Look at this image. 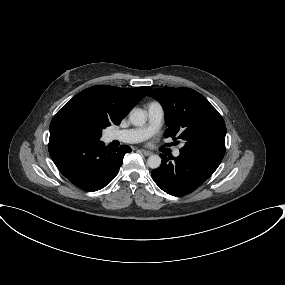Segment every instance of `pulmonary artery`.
<instances>
[{
  "mask_svg": "<svg viewBox=\"0 0 285 285\" xmlns=\"http://www.w3.org/2000/svg\"><path fill=\"white\" fill-rule=\"evenodd\" d=\"M148 123L147 125L128 130H118L108 133V141H120L124 143H138L150 137L162 125L164 110L158 102L149 103L146 107ZM180 149L174 151V156L180 155Z\"/></svg>",
  "mask_w": 285,
  "mask_h": 285,
  "instance_id": "pulmonary-artery-1",
  "label": "pulmonary artery"
}]
</instances>
